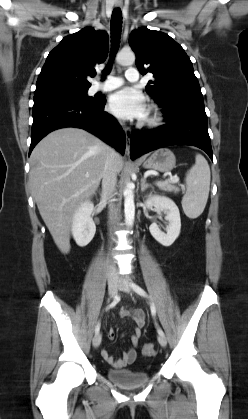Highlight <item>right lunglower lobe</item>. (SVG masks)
<instances>
[{
    "instance_id": "right-lung-lower-lobe-1",
    "label": "right lung lower lobe",
    "mask_w": 248,
    "mask_h": 419,
    "mask_svg": "<svg viewBox=\"0 0 248 419\" xmlns=\"http://www.w3.org/2000/svg\"><path fill=\"white\" fill-rule=\"evenodd\" d=\"M105 103V97L90 102L68 97L34 100L29 153L45 135L63 127L85 129L124 153L125 134L115 118L103 111Z\"/></svg>"
}]
</instances>
